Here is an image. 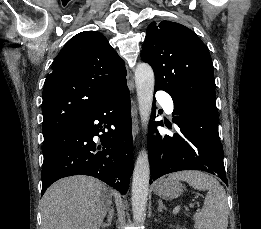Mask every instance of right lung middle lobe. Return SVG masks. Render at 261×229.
<instances>
[{
    "mask_svg": "<svg viewBox=\"0 0 261 229\" xmlns=\"http://www.w3.org/2000/svg\"><path fill=\"white\" fill-rule=\"evenodd\" d=\"M60 131L57 130H43V135H44V142L53 138L57 134H59Z\"/></svg>",
    "mask_w": 261,
    "mask_h": 229,
    "instance_id": "obj_1",
    "label": "right lung middle lobe"
}]
</instances>
